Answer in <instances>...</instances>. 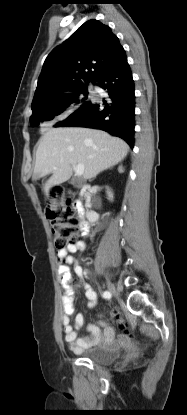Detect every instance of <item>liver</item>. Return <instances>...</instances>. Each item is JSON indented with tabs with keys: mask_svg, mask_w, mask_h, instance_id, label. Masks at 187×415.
I'll return each instance as SVG.
<instances>
[{
	"mask_svg": "<svg viewBox=\"0 0 187 415\" xmlns=\"http://www.w3.org/2000/svg\"><path fill=\"white\" fill-rule=\"evenodd\" d=\"M129 151L128 144L101 130L87 128H53L39 140L32 180L52 173L43 191L61 184L73 174L72 165L83 164L85 179L121 162Z\"/></svg>",
	"mask_w": 187,
	"mask_h": 415,
	"instance_id": "liver-1",
	"label": "liver"
}]
</instances>
